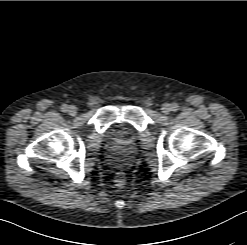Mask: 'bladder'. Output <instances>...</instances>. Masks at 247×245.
Returning a JSON list of instances; mask_svg holds the SVG:
<instances>
[{
	"instance_id": "31cf9c89",
	"label": "bladder",
	"mask_w": 247,
	"mask_h": 245,
	"mask_svg": "<svg viewBox=\"0 0 247 245\" xmlns=\"http://www.w3.org/2000/svg\"><path fill=\"white\" fill-rule=\"evenodd\" d=\"M115 136L119 137V136H120V134L116 133V135H115Z\"/></svg>"
}]
</instances>
